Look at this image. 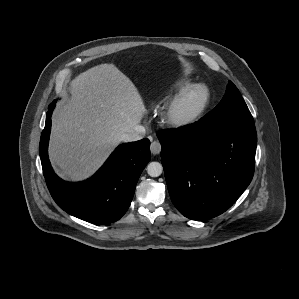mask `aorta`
<instances>
[{
	"label": "aorta",
	"instance_id": "1",
	"mask_svg": "<svg viewBox=\"0 0 299 299\" xmlns=\"http://www.w3.org/2000/svg\"><path fill=\"white\" fill-rule=\"evenodd\" d=\"M163 167L159 162H151L147 165V173L151 177H158L162 174Z\"/></svg>",
	"mask_w": 299,
	"mask_h": 299
}]
</instances>
